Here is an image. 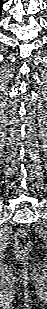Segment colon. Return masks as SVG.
Instances as JSON below:
<instances>
[{"mask_svg":"<svg viewBox=\"0 0 47 309\" xmlns=\"http://www.w3.org/2000/svg\"><path fill=\"white\" fill-rule=\"evenodd\" d=\"M30 239L24 230H19L15 236V245L18 256L21 259L26 258L29 248H30Z\"/></svg>","mask_w":47,"mask_h":309,"instance_id":"obj_1","label":"colon"}]
</instances>
